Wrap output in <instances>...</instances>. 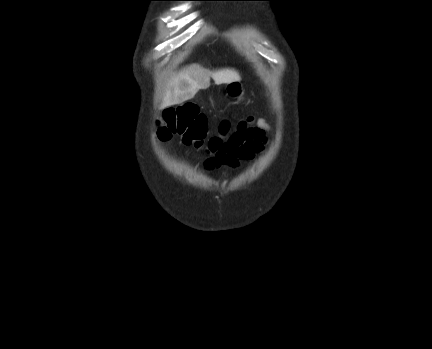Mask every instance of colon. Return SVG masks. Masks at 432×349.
Instances as JSON below:
<instances>
[{
  "instance_id": "5ec220e1",
  "label": "colon",
  "mask_w": 432,
  "mask_h": 349,
  "mask_svg": "<svg viewBox=\"0 0 432 349\" xmlns=\"http://www.w3.org/2000/svg\"><path fill=\"white\" fill-rule=\"evenodd\" d=\"M245 129L246 123L242 122L234 133ZM219 130L221 135L229 134V123L223 121ZM207 133V118L195 104H184L177 108L167 109L158 122L157 128V135L161 140H166L172 135H179L186 146L193 148H201L205 145ZM226 143L220 137L215 136L208 140L207 149L216 157L222 153Z\"/></svg>"
}]
</instances>
